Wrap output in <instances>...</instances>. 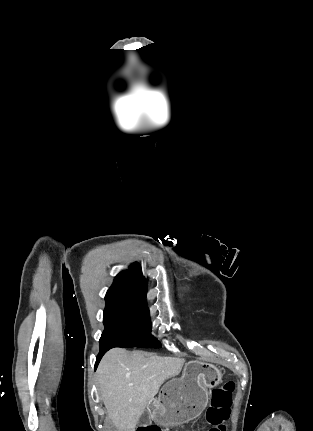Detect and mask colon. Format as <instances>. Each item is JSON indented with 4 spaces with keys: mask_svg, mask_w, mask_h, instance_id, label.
<instances>
[{
    "mask_svg": "<svg viewBox=\"0 0 313 431\" xmlns=\"http://www.w3.org/2000/svg\"><path fill=\"white\" fill-rule=\"evenodd\" d=\"M234 390V382H227L224 386L212 390L210 405L206 412V419L212 426L208 431H226L225 422L230 416V407ZM137 431L162 430L156 425H149L140 427Z\"/></svg>",
    "mask_w": 313,
    "mask_h": 431,
    "instance_id": "colon-1",
    "label": "colon"
}]
</instances>
